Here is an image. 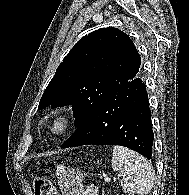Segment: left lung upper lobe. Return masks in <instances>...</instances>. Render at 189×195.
Returning <instances> with one entry per match:
<instances>
[{"label":"left lung upper lobe","instance_id":"left-lung-upper-lobe-1","mask_svg":"<svg viewBox=\"0 0 189 195\" xmlns=\"http://www.w3.org/2000/svg\"><path fill=\"white\" fill-rule=\"evenodd\" d=\"M141 58L117 28L82 37L59 65L39 109L72 106L79 127L114 91L136 79Z\"/></svg>","mask_w":189,"mask_h":195}]
</instances>
